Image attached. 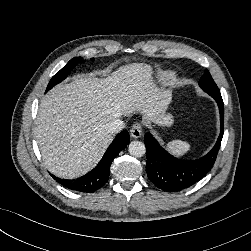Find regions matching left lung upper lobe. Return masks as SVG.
I'll use <instances>...</instances> for the list:
<instances>
[{
	"label": "left lung upper lobe",
	"instance_id": "obj_1",
	"mask_svg": "<svg viewBox=\"0 0 251 251\" xmlns=\"http://www.w3.org/2000/svg\"><path fill=\"white\" fill-rule=\"evenodd\" d=\"M199 85L209 95H220V91L207 69L205 70L204 75L201 77Z\"/></svg>",
	"mask_w": 251,
	"mask_h": 251
}]
</instances>
